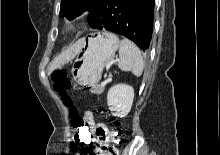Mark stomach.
<instances>
[{
	"label": "stomach",
	"instance_id": "stomach-1",
	"mask_svg": "<svg viewBox=\"0 0 220 155\" xmlns=\"http://www.w3.org/2000/svg\"><path fill=\"white\" fill-rule=\"evenodd\" d=\"M81 41V49L72 66V77L78 85L94 88L105 65L114 58L119 38L110 32H100Z\"/></svg>",
	"mask_w": 220,
	"mask_h": 155
}]
</instances>
